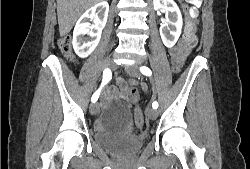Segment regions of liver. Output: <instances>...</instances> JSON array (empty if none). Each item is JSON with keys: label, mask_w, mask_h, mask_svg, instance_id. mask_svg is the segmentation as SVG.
<instances>
[{"label": "liver", "mask_w": 250, "mask_h": 169, "mask_svg": "<svg viewBox=\"0 0 250 169\" xmlns=\"http://www.w3.org/2000/svg\"><path fill=\"white\" fill-rule=\"evenodd\" d=\"M99 0H57V16L60 36H66L80 14Z\"/></svg>", "instance_id": "6515ba94"}]
</instances>
